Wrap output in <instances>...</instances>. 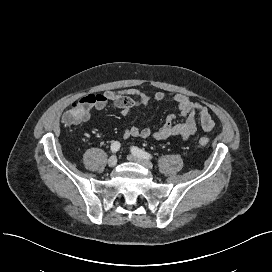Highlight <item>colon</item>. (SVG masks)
<instances>
[{
    "instance_id": "colon-1",
    "label": "colon",
    "mask_w": 272,
    "mask_h": 272,
    "mask_svg": "<svg viewBox=\"0 0 272 272\" xmlns=\"http://www.w3.org/2000/svg\"><path fill=\"white\" fill-rule=\"evenodd\" d=\"M198 144L200 147H206L209 144V140L205 137H202L198 140Z\"/></svg>"
}]
</instances>
